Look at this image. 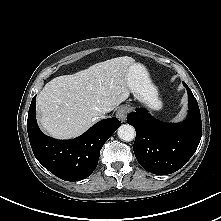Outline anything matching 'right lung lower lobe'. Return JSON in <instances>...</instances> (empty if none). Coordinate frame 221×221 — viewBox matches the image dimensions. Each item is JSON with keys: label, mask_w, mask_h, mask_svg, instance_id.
<instances>
[{"label": "right lung lower lobe", "mask_w": 221, "mask_h": 221, "mask_svg": "<svg viewBox=\"0 0 221 221\" xmlns=\"http://www.w3.org/2000/svg\"><path fill=\"white\" fill-rule=\"evenodd\" d=\"M35 97L28 112L27 131L36 159L65 181H79L90 176L98 164L101 148L121 122L115 117L104 119L75 139L57 140L40 131L35 118Z\"/></svg>", "instance_id": "right-lung-lower-lobe-1"}]
</instances>
